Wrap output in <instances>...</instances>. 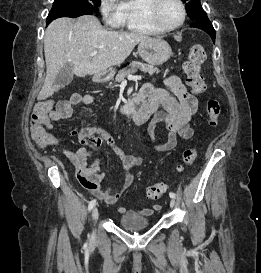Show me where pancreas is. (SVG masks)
I'll use <instances>...</instances> for the list:
<instances>
[{"label":"pancreas","mask_w":261,"mask_h":273,"mask_svg":"<svg viewBox=\"0 0 261 273\" xmlns=\"http://www.w3.org/2000/svg\"><path fill=\"white\" fill-rule=\"evenodd\" d=\"M138 69L142 72L149 73L150 75L160 72V70L153 65H149L139 61H132L129 66L118 72L115 77V82L119 83L123 81L128 75L135 73Z\"/></svg>","instance_id":"cf45deb5"}]
</instances>
